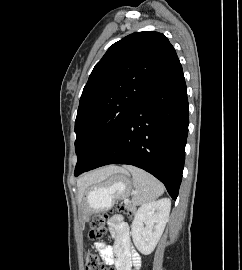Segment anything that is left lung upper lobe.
I'll return each mask as SVG.
<instances>
[{"instance_id":"left-lung-upper-lobe-1","label":"left lung upper lobe","mask_w":242,"mask_h":270,"mask_svg":"<svg viewBox=\"0 0 242 270\" xmlns=\"http://www.w3.org/2000/svg\"><path fill=\"white\" fill-rule=\"evenodd\" d=\"M178 59L162 33L136 32L114 43L85 85L75 121V176L86 171Z\"/></svg>"}]
</instances>
